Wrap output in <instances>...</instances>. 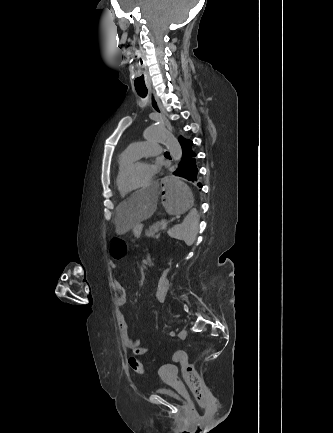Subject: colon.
I'll use <instances>...</instances> for the list:
<instances>
[{
    "instance_id": "1",
    "label": "colon",
    "mask_w": 333,
    "mask_h": 433,
    "mask_svg": "<svg viewBox=\"0 0 333 433\" xmlns=\"http://www.w3.org/2000/svg\"><path fill=\"white\" fill-rule=\"evenodd\" d=\"M127 242V236H112V239L109 243L111 249L110 257L123 258L125 253H128L129 251ZM168 275L169 272L166 269H163L160 272V280L158 281L159 285H156V291L154 293L156 297L155 301L158 304L161 303V299L164 297V290L162 287L167 284L166 280ZM173 361L178 362V364L181 366L183 378L197 403L200 405H205L210 398V391L202 374L192 363L189 354L183 350H178L173 354ZM129 364L136 373H144V366L137 358L131 357L129 359Z\"/></svg>"
}]
</instances>
